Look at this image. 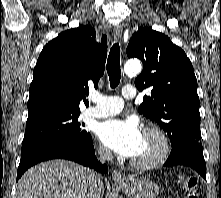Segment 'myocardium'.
Instances as JSON below:
<instances>
[{"label":"myocardium","mask_w":221,"mask_h":198,"mask_svg":"<svg viewBox=\"0 0 221 198\" xmlns=\"http://www.w3.org/2000/svg\"><path fill=\"white\" fill-rule=\"evenodd\" d=\"M143 134L153 136L158 142L157 152L146 160H136L131 158L130 164L137 169H151L163 163L170 152V142L166 134L156 126H147L143 129Z\"/></svg>","instance_id":"1"}]
</instances>
